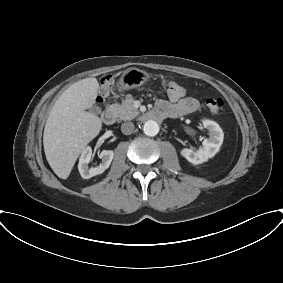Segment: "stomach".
Instances as JSON below:
<instances>
[{"label": "stomach", "instance_id": "1", "mask_svg": "<svg viewBox=\"0 0 283 283\" xmlns=\"http://www.w3.org/2000/svg\"><path fill=\"white\" fill-rule=\"evenodd\" d=\"M148 80V74L145 71L139 69H130L126 71L119 81V89L128 90L136 87H140Z\"/></svg>", "mask_w": 283, "mask_h": 283}]
</instances>
